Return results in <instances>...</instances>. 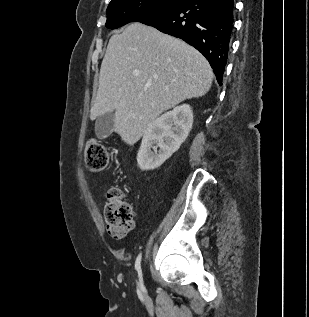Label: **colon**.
I'll use <instances>...</instances> for the list:
<instances>
[{"label":"colon","instance_id":"5ec220e1","mask_svg":"<svg viewBox=\"0 0 309 317\" xmlns=\"http://www.w3.org/2000/svg\"><path fill=\"white\" fill-rule=\"evenodd\" d=\"M109 156L104 144L91 138L85 145V163L89 170L98 172L106 168ZM104 220L108 233L115 239H123L133 227V213L125 194L119 188L107 193Z\"/></svg>","mask_w":309,"mask_h":317}]
</instances>
